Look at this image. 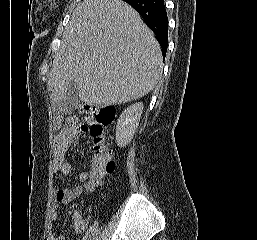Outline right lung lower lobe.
I'll list each match as a JSON object with an SVG mask.
<instances>
[{
	"mask_svg": "<svg viewBox=\"0 0 257 240\" xmlns=\"http://www.w3.org/2000/svg\"><path fill=\"white\" fill-rule=\"evenodd\" d=\"M143 18L146 25L155 33L161 45L163 58L168 46V18L164 0H124Z\"/></svg>",
	"mask_w": 257,
	"mask_h": 240,
	"instance_id": "98d812e1",
	"label": "right lung lower lobe"
}]
</instances>
